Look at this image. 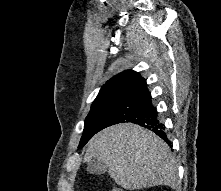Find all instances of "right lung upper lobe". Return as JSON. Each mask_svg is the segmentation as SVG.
Masks as SVG:
<instances>
[{
    "instance_id": "obj_1",
    "label": "right lung upper lobe",
    "mask_w": 221,
    "mask_h": 191,
    "mask_svg": "<svg viewBox=\"0 0 221 191\" xmlns=\"http://www.w3.org/2000/svg\"><path fill=\"white\" fill-rule=\"evenodd\" d=\"M144 82L145 80L139 73L132 70L124 71L107 81L101 88L92 106L113 100L119 101L128 92Z\"/></svg>"
}]
</instances>
